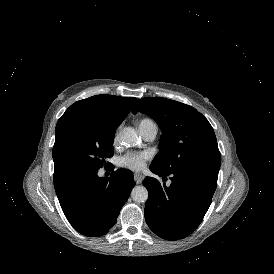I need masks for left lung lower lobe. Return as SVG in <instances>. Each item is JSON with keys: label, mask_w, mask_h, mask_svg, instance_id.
<instances>
[{"label": "left lung lower lobe", "mask_w": 274, "mask_h": 274, "mask_svg": "<svg viewBox=\"0 0 274 274\" xmlns=\"http://www.w3.org/2000/svg\"><path fill=\"white\" fill-rule=\"evenodd\" d=\"M160 176H170L167 187L155 178L146 177L143 185L149 191L145 219L150 229L167 240L190 235L201 223L217 186L218 173L202 169L164 172L150 165ZM166 179V178H163Z\"/></svg>", "instance_id": "obj_1"}]
</instances>
